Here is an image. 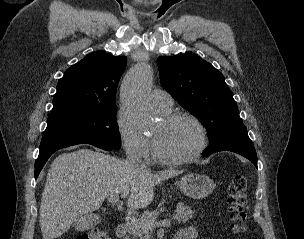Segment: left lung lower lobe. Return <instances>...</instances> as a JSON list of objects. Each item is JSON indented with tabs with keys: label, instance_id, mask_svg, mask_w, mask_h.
<instances>
[{
	"label": "left lung lower lobe",
	"instance_id": "left-lung-lower-lobe-1",
	"mask_svg": "<svg viewBox=\"0 0 304 239\" xmlns=\"http://www.w3.org/2000/svg\"><path fill=\"white\" fill-rule=\"evenodd\" d=\"M223 150H228L238 153L248 158L257 167V155L254 147H233V148L220 149L216 151H208V152H204V157L210 155L211 153L223 151Z\"/></svg>",
	"mask_w": 304,
	"mask_h": 239
}]
</instances>
